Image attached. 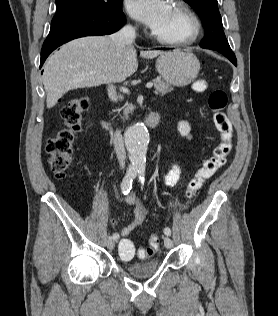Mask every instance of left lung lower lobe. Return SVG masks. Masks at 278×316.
I'll list each match as a JSON object with an SVG mask.
<instances>
[{
	"label": "left lung lower lobe",
	"mask_w": 278,
	"mask_h": 316,
	"mask_svg": "<svg viewBox=\"0 0 278 316\" xmlns=\"http://www.w3.org/2000/svg\"><path fill=\"white\" fill-rule=\"evenodd\" d=\"M161 49H165V48H161ZM234 65H236V66H237V63H235Z\"/></svg>",
	"instance_id": "0a47b994"
}]
</instances>
